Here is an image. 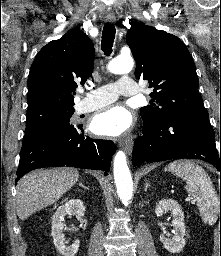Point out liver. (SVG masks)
Here are the masks:
<instances>
[{"instance_id": "6515ba94", "label": "liver", "mask_w": 221, "mask_h": 256, "mask_svg": "<svg viewBox=\"0 0 221 256\" xmlns=\"http://www.w3.org/2000/svg\"><path fill=\"white\" fill-rule=\"evenodd\" d=\"M79 179L75 168L38 169L26 174L17 184L16 212L21 220L47 207L74 186Z\"/></svg>"}]
</instances>
